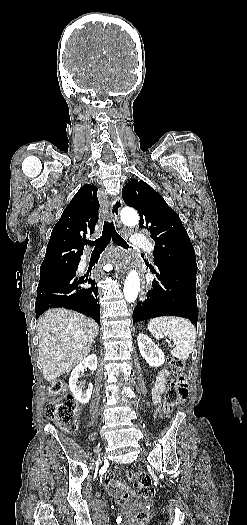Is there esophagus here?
Returning <instances> with one entry per match:
<instances>
[{
    "label": "esophagus",
    "instance_id": "34e87169",
    "mask_svg": "<svg viewBox=\"0 0 247 525\" xmlns=\"http://www.w3.org/2000/svg\"><path fill=\"white\" fill-rule=\"evenodd\" d=\"M122 205H123V201L119 195H116L115 197L111 198L110 212H111V215L114 216L117 222L119 221V213H120V209L122 208ZM123 266H127L125 267V270H128V273H131V270H133L134 272H136V276L142 279L141 280L142 288H141V293H140V300L143 302L146 298V291H147L143 270L139 268L137 265H134L132 262L128 263V261H123Z\"/></svg>",
    "mask_w": 247,
    "mask_h": 525
}]
</instances>
